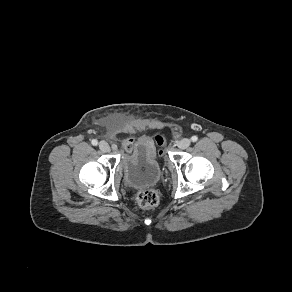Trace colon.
<instances>
[{"label": "colon", "mask_w": 292, "mask_h": 292, "mask_svg": "<svg viewBox=\"0 0 292 292\" xmlns=\"http://www.w3.org/2000/svg\"><path fill=\"white\" fill-rule=\"evenodd\" d=\"M157 142L162 145L164 143V138L158 136ZM137 201L143 208H153L159 202V194L154 189H144L138 193Z\"/></svg>", "instance_id": "colon-1"}]
</instances>
